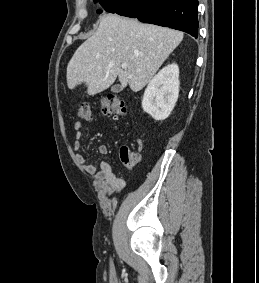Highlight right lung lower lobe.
Returning a JSON list of instances; mask_svg holds the SVG:
<instances>
[{"instance_id": "1", "label": "right lung lower lobe", "mask_w": 259, "mask_h": 283, "mask_svg": "<svg viewBox=\"0 0 259 283\" xmlns=\"http://www.w3.org/2000/svg\"><path fill=\"white\" fill-rule=\"evenodd\" d=\"M100 4L109 13L198 36V0H103Z\"/></svg>"}]
</instances>
